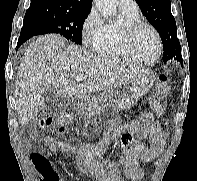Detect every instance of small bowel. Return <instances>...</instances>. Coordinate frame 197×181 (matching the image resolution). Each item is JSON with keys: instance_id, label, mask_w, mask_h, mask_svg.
Here are the masks:
<instances>
[{"instance_id": "obj_1", "label": "small bowel", "mask_w": 197, "mask_h": 181, "mask_svg": "<svg viewBox=\"0 0 197 181\" xmlns=\"http://www.w3.org/2000/svg\"><path fill=\"white\" fill-rule=\"evenodd\" d=\"M115 128L123 130L122 144L124 152L111 161L105 168L98 161L104 145L93 147L83 146L79 149L52 138H45L49 150L54 153L75 155L78 169L91 175L97 181H121L122 174L132 181H143L144 170L140 163L154 161L158 158L165 144V135L160 122H153L150 126L149 145L137 144L131 131L116 123ZM31 162L39 174V181H66L51 165V162L40 152L30 155Z\"/></svg>"}]
</instances>
